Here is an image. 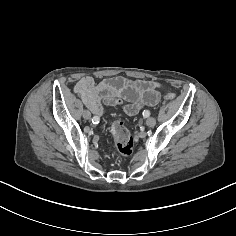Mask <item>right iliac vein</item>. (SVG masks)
<instances>
[{"mask_svg": "<svg viewBox=\"0 0 236 236\" xmlns=\"http://www.w3.org/2000/svg\"><path fill=\"white\" fill-rule=\"evenodd\" d=\"M83 118L87 119V120L91 119V113L88 110H84L83 111Z\"/></svg>", "mask_w": 236, "mask_h": 236, "instance_id": "1", "label": "right iliac vein"}]
</instances>
